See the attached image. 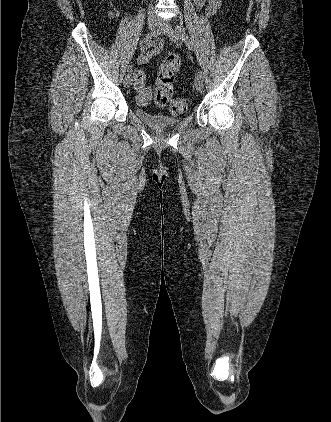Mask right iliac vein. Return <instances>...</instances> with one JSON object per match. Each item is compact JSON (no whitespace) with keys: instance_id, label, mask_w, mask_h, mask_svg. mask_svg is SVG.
Returning a JSON list of instances; mask_svg holds the SVG:
<instances>
[{"instance_id":"obj_1","label":"right iliac vein","mask_w":331,"mask_h":422,"mask_svg":"<svg viewBox=\"0 0 331 422\" xmlns=\"http://www.w3.org/2000/svg\"><path fill=\"white\" fill-rule=\"evenodd\" d=\"M147 25H148L149 31L152 32L155 29V27L158 25V19L153 15L149 16ZM131 84H132V76L131 74H127L124 78L123 85L125 88H128L130 87Z\"/></svg>"}]
</instances>
